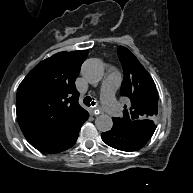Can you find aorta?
Wrapping results in <instances>:
<instances>
[{
	"mask_svg": "<svg viewBox=\"0 0 193 193\" xmlns=\"http://www.w3.org/2000/svg\"><path fill=\"white\" fill-rule=\"evenodd\" d=\"M82 75L90 83H98L104 75V67L98 59H88L82 66ZM95 126L100 132L112 129V118L107 114H101L95 119Z\"/></svg>",
	"mask_w": 193,
	"mask_h": 193,
	"instance_id": "obj_1",
	"label": "aorta"
}]
</instances>
